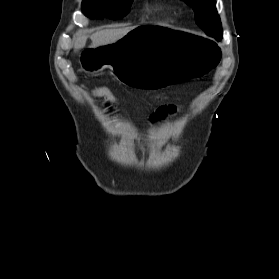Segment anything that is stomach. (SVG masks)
<instances>
[{
  "label": "stomach",
  "mask_w": 279,
  "mask_h": 279,
  "mask_svg": "<svg viewBox=\"0 0 279 279\" xmlns=\"http://www.w3.org/2000/svg\"><path fill=\"white\" fill-rule=\"evenodd\" d=\"M101 47L106 50L81 51L82 74L114 71L133 91H167L181 82H209L219 72L214 64L219 63L217 45L172 25H135L115 43Z\"/></svg>",
  "instance_id": "0dacf381"
}]
</instances>
